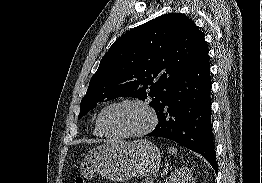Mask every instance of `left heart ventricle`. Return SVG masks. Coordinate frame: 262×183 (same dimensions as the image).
<instances>
[{"mask_svg": "<svg viewBox=\"0 0 262 183\" xmlns=\"http://www.w3.org/2000/svg\"><path fill=\"white\" fill-rule=\"evenodd\" d=\"M149 123L147 111L134 104H123L108 109L103 115V125L111 133L126 134L145 128Z\"/></svg>", "mask_w": 262, "mask_h": 183, "instance_id": "1", "label": "left heart ventricle"}]
</instances>
